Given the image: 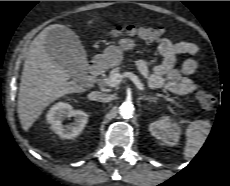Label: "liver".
Listing matches in <instances>:
<instances>
[{"instance_id":"liver-1","label":"liver","mask_w":230,"mask_h":186,"mask_svg":"<svg viewBox=\"0 0 230 186\" xmlns=\"http://www.w3.org/2000/svg\"><path fill=\"white\" fill-rule=\"evenodd\" d=\"M57 27L67 28L61 24L46 27L31 42L24 62L17 112L22 128L26 132L53 101L66 94L86 91L75 81H69L70 74L46 51V36L51 29Z\"/></svg>"}]
</instances>
